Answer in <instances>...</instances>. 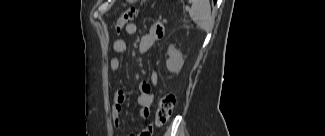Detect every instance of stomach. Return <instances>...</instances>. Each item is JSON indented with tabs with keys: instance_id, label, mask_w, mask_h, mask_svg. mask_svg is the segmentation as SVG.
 Instances as JSON below:
<instances>
[{
	"instance_id": "1",
	"label": "stomach",
	"mask_w": 325,
	"mask_h": 136,
	"mask_svg": "<svg viewBox=\"0 0 325 136\" xmlns=\"http://www.w3.org/2000/svg\"><path fill=\"white\" fill-rule=\"evenodd\" d=\"M129 2H135V0H130Z\"/></svg>"
}]
</instances>
